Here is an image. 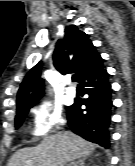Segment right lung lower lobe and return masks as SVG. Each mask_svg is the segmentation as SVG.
I'll list each match as a JSON object with an SVG mask.
<instances>
[{
    "label": "right lung lower lobe",
    "instance_id": "98d812e1",
    "mask_svg": "<svg viewBox=\"0 0 135 166\" xmlns=\"http://www.w3.org/2000/svg\"><path fill=\"white\" fill-rule=\"evenodd\" d=\"M78 82L86 87L87 99H75L67 108V120L70 129L81 137L109 147L108 128L111 122L112 89L103 59L83 73ZM85 105L86 109H81Z\"/></svg>",
    "mask_w": 135,
    "mask_h": 166
}]
</instances>
